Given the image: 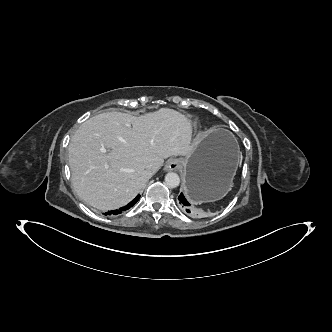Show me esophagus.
Segmentation results:
<instances>
[{"instance_id": "esophagus-1", "label": "esophagus", "mask_w": 332, "mask_h": 332, "mask_svg": "<svg viewBox=\"0 0 332 332\" xmlns=\"http://www.w3.org/2000/svg\"><path fill=\"white\" fill-rule=\"evenodd\" d=\"M181 164L180 161L177 159H170L167 161L165 165L166 171H172V170H178L180 168Z\"/></svg>"}]
</instances>
